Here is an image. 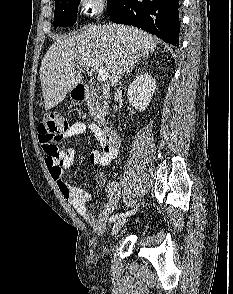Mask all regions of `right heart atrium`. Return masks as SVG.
I'll return each instance as SVG.
<instances>
[{"label":"right heart atrium","mask_w":233,"mask_h":294,"mask_svg":"<svg viewBox=\"0 0 233 294\" xmlns=\"http://www.w3.org/2000/svg\"><path fill=\"white\" fill-rule=\"evenodd\" d=\"M106 8V0H79V9L82 14L91 18H99Z\"/></svg>","instance_id":"right-heart-atrium-1"}]
</instances>
